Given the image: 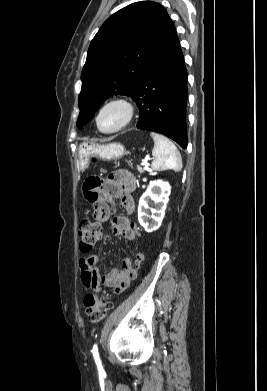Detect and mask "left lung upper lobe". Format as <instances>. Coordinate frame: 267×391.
<instances>
[{
	"instance_id": "5c2ea615",
	"label": "left lung upper lobe",
	"mask_w": 267,
	"mask_h": 391,
	"mask_svg": "<svg viewBox=\"0 0 267 391\" xmlns=\"http://www.w3.org/2000/svg\"><path fill=\"white\" fill-rule=\"evenodd\" d=\"M176 35L167 11L155 2H136L110 16L88 49L77 127L87 123L107 98L131 96L153 60Z\"/></svg>"
}]
</instances>
